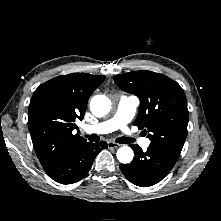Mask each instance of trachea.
<instances>
[{
    "instance_id": "3493384b",
    "label": "trachea",
    "mask_w": 221,
    "mask_h": 221,
    "mask_svg": "<svg viewBox=\"0 0 221 221\" xmlns=\"http://www.w3.org/2000/svg\"><path fill=\"white\" fill-rule=\"evenodd\" d=\"M85 137L88 138V140L92 142H98L100 140V137L96 134L85 135ZM116 142L121 143V144H129V143H132L133 140L127 137H120V138H117Z\"/></svg>"
}]
</instances>
